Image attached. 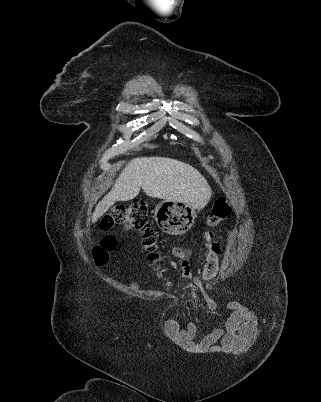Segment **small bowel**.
Here are the masks:
<instances>
[{
  "label": "small bowel",
  "mask_w": 321,
  "mask_h": 402,
  "mask_svg": "<svg viewBox=\"0 0 321 402\" xmlns=\"http://www.w3.org/2000/svg\"><path fill=\"white\" fill-rule=\"evenodd\" d=\"M174 255L179 259V267L182 276L193 281L196 285H202L199 280V275L193 272L187 258L189 250L177 246L173 249ZM136 280L133 285H137ZM207 311H215L217 305L215 302H207L205 305ZM230 320L226 321V327L223 330H205L199 335L198 340L194 341L199 329L195 324H188L182 328L179 324L171 320L167 324L168 335L177 340L185 347L186 352L191 353L193 350H200L201 353H215L219 351V356H230V353H249L255 344L254 339H257L259 333L257 330L260 327L258 320H252V309L248 307L246 302H231L229 305ZM221 339L224 346H219ZM201 342V343H200Z\"/></svg>",
  "instance_id": "c3829d8e"
}]
</instances>
